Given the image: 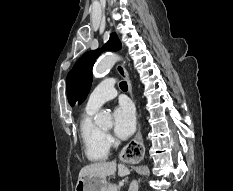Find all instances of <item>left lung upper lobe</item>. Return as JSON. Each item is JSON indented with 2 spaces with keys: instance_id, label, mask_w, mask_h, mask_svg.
Returning a JSON list of instances; mask_svg holds the SVG:
<instances>
[{
  "instance_id": "obj_1",
  "label": "left lung upper lobe",
  "mask_w": 233,
  "mask_h": 191,
  "mask_svg": "<svg viewBox=\"0 0 233 191\" xmlns=\"http://www.w3.org/2000/svg\"><path fill=\"white\" fill-rule=\"evenodd\" d=\"M119 49H121V42L116 34L112 33L102 49L86 52L77 60L73 69L68 73L66 81L67 98L71 106H74L76 102L82 103L86 99L92 82V68L100 53L105 50L117 51Z\"/></svg>"
}]
</instances>
